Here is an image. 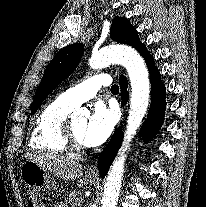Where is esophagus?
<instances>
[{"label":"esophagus","instance_id":"34e87169","mask_svg":"<svg viewBox=\"0 0 206 207\" xmlns=\"http://www.w3.org/2000/svg\"><path fill=\"white\" fill-rule=\"evenodd\" d=\"M87 172H88L89 175H92L94 177H98L99 172H98L97 164H95L94 166H91L90 168H88Z\"/></svg>","mask_w":206,"mask_h":207}]
</instances>
